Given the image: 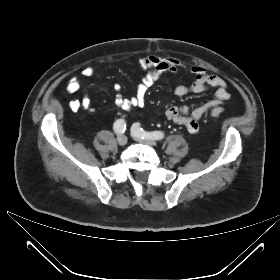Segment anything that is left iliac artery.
<instances>
[{
    "label": "left iliac artery",
    "instance_id": "left-iliac-artery-1",
    "mask_svg": "<svg viewBox=\"0 0 280 280\" xmlns=\"http://www.w3.org/2000/svg\"><path fill=\"white\" fill-rule=\"evenodd\" d=\"M132 132L136 133L138 136H140L142 139H153V140H162L165 137V134L161 131H153V132H147L143 130V128L140 127L139 123H135L131 127Z\"/></svg>",
    "mask_w": 280,
    "mask_h": 280
}]
</instances>
